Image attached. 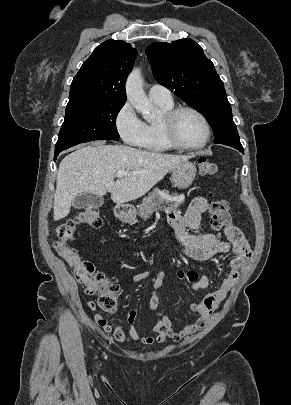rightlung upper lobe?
<instances>
[{
    "mask_svg": "<svg viewBox=\"0 0 291 405\" xmlns=\"http://www.w3.org/2000/svg\"><path fill=\"white\" fill-rule=\"evenodd\" d=\"M137 50L121 40L97 46L74 77L68 104L88 101H126L125 82Z\"/></svg>",
    "mask_w": 291,
    "mask_h": 405,
    "instance_id": "cb5924a9",
    "label": "right lung upper lobe"
}]
</instances>
